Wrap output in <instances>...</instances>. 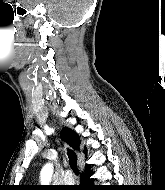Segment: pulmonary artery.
<instances>
[{
  "label": "pulmonary artery",
  "mask_w": 165,
  "mask_h": 190,
  "mask_svg": "<svg viewBox=\"0 0 165 190\" xmlns=\"http://www.w3.org/2000/svg\"><path fill=\"white\" fill-rule=\"evenodd\" d=\"M63 181L65 184H72L74 182V178L70 170L65 171Z\"/></svg>",
  "instance_id": "obj_1"
}]
</instances>
